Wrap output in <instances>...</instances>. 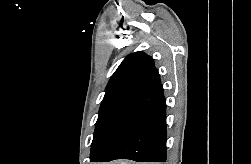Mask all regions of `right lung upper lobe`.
<instances>
[{"label": "right lung upper lobe", "mask_w": 251, "mask_h": 164, "mask_svg": "<svg viewBox=\"0 0 251 164\" xmlns=\"http://www.w3.org/2000/svg\"><path fill=\"white\" fill-rule=\"evenodd\" d=\"M159 83L160 76L153 59L144 52H135L122 61L110 78L105 92L121 89L143 91Z\"/></svg>", "instance_id": "cb5924a9"}]
</instances>
